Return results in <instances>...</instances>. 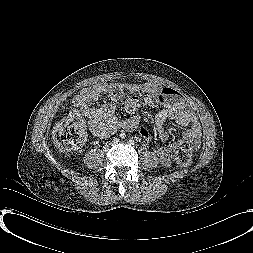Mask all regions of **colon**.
<instances>
[{"instance_id":"5ec220e1","label":"colon","mask_w":253,"mask_h":253,"mask_svg":"<svg viewBox=\"0 0 253 253\" xmlns=\"http://www.w3.org/2000/svg\"><path fill=\"white\" fill-rule=\"evenodd\" d=\"M104 93L136 104H144L149 96L143 88L134 85L113 84L107 87ZM85 137L83 123L75 116H68L56 126L53 141L58 149L70 152L80 147L85 141ZM175 158L179 166L187 167L191 163L192 155L188 149L179 148L175 153Z\"/></svg>"}]
</instances>
